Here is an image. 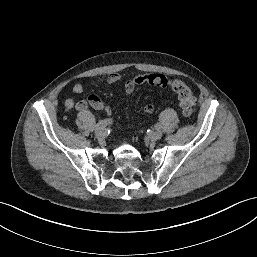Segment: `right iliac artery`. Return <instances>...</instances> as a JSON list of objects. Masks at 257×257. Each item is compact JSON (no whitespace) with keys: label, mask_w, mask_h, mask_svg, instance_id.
Listing matches in <instances>:
<instances>
[{"label":"right iliac artery","mask_w":257,"mask_h":257,"mask_svg":"<svg viewBox=\"0 0 257 257\" xmlns=\"http://www.w3.org/2000/svg\"><path fill=\"white\" fill-rule=\"evenodd\" d=\"M112 123V119H105V120H101L99 121L95 126H94V131H98L100 129H104L105 127H107L109 124Z\"/></svg>","instance_id":"1"}]
</instances>
